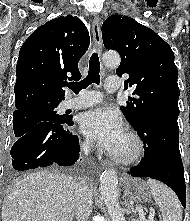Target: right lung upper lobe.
Here are the masks:
<instances>
[{
  "instance_id": "right-lung-upper-lobe-1",
  "label": "right lung upper lobe",
  "mask_w": 190,
  "mask_h": 221,
  "mask_svg": "<svg viewBox=\"0 0 190 221\" xmlns=\"http://www.w3.org/2000/svg\"><path fill=\"white\" fill-rule=\"evenodd\" d=\"M89 33L76 16H61L38 27L22 45L16 66L13 114L65 99L67 80H79L78 62Z\"/></svg>"
}]
</instances>
